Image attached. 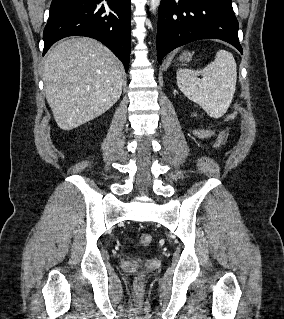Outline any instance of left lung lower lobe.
Returning <instances> with one entry per match:
<instances>
[{"label":"left lung lower lobe","mask_w":284,"mask_h":319,"mask_svg":"<svg viewBox=\"0 0 284 319\" xmlns=\"http://www.w3.org/2000/svg\"><path fill=\"white\" fill-rule=\"evenodd\" d=\"M208 38L224 40L243 53L231 0H161L157 30L159 63L171 50Z\"/></svg>","instance_id":"0a47b994"}]
</instances>
